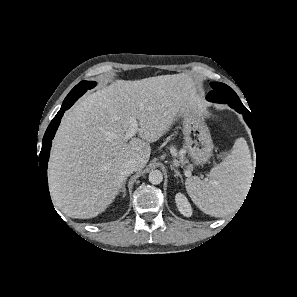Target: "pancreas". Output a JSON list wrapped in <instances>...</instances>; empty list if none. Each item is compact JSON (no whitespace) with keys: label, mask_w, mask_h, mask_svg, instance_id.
I'll use <instances>...</instances> for the list:
<instances>
[{"label":"pancreas","mask_w":297,"mask_h":297,"mask_svg":"<svg viewBox=\"0 0 297 297\" xmlns=\"http://www.w3.org/2000/svg\"><path fill=\"white\" fill-rule=\"evenodd\" d=\"M172 153L176 156V149H172Z\"/></svg>","instance_id":"pancreas-1"}]
</instances>
